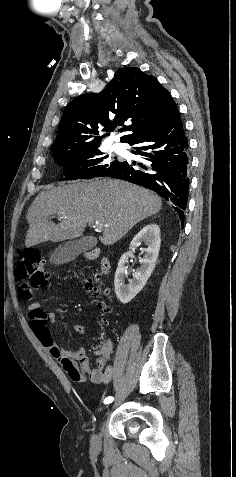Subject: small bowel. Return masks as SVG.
Listing matches in <instances>:
<instances>
[{"label": "small bowel", "instance_id": "c3829d8e", "mask_svg": "<svg viewBox=\"0 0 236 477\" xmlns=\"http://www.w3.org/2000/svg\"><path fill=\"white\" fill-rule=\"evenodd\" d=\"M31 329L38 341L47 349L49 354L57 359L64 371L75 382H83L89 378L93 383H109L114 369L109 364L104 372L99 369H91L87 355V350L82 345H77L73 350H67L54 339L51 325L56 322V314L47 312L43 309L39 302L31 303L28 307ZM88 332V328L84 325H75L72 328L74 337L84 335ZM102 355L105 359L111 360L113 352V344L107 340L102 348Z\"/></svg>", "mask_w": 236, "mask_h": 477}]
</instances>
